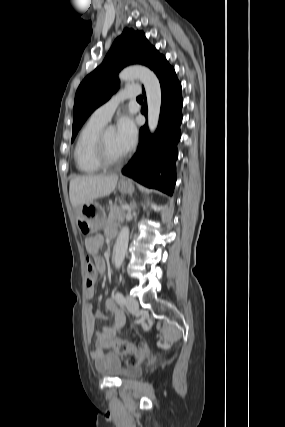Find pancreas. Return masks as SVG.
Wrapping results in <instances>:
<instances>
[{"mask_svg": "<svg viewBox=\"0 0 285 427\" xmlns=\"http://www.w3.org/2000/svg\"><path fill=\"white\" fill-rule=\"evenodd\" d=\"M122 204V203H121ZM125 216V210L119 207L116 204H109V215L108 219L106 220L105 224H110L113 222H117L120 220H123Z\"/></svg>", "mask_w": 285, "mask_h": 427, "instance_id": "cf45deb5", "label": "pancreas"}]
</instances>
